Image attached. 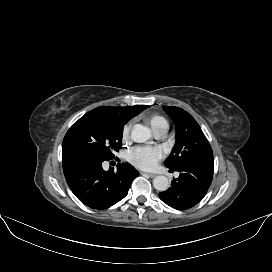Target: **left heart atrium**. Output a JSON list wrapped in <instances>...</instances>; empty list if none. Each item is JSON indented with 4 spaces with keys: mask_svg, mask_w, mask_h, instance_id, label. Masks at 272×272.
Here are the masks:
<instances>
[{
    "mask_svg": "<svg viewBox=\"0 0 272 272\" xmlns=\"http://www.w3.org/2000/svg\"><path fill=\"white\" fill-rule=\"evenodd\" d=\"M162 158V152L156 147H136L130 152L131 162L139 168L151 169Z\"/></svg>",
    "mask_w": 272,
    "mask_h": 272,
    "instance_id": "1",
    "label": "left heart atrium"
}]
</instances>
